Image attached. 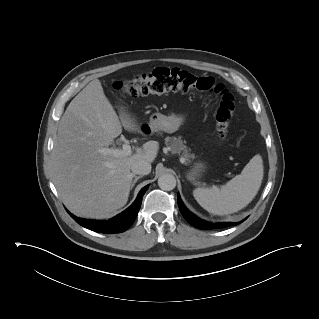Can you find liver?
Listing matches in <instances>:
<instances>
[{
	"mask_svg": "<svg viewBox=\"0 0 319 319\" xmlns=\"http://www.w3.org/2000/svg\"><path fill=\"white\" fill-rule=\"evenodd\" d=\"M116 114L98 79L91 81L63 114L52 152V175L59 196L75 215L110 218L128 201L136 160L153 162L159 144L149 141L137 153L114 157L100 152L122 133L141 132L124 110Z\"/></svg>",
	"mask_w": 319,
	"mask_h": 319,
	"instance_id": "1",
	"label": "liver"
}]
</instances>
